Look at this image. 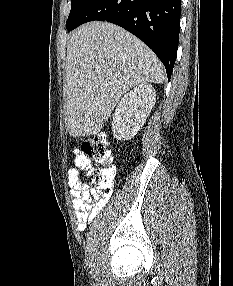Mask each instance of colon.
Returning a JSON list of instances; mask_svg holds the SVG:
<instances>
[{"label": "colon", "mask_w": 233, "mask_h": 286, "mask_svg": "<svg viewBox=\"0 0 233 286\" xmlns=\"http://www.w3.org/2000/svg\"><path fill=\"white\" fill-rule=\"evenodd\" d=\"M84 155L99 165L96 169L88 172L87 184L98 190H105L112 186L114 181V170L111 166L112 154L108 149L105 136L101 133L85 139L82 143Z\"/></svg>", "instance_id": "5ec220e1"}]
</instances>
